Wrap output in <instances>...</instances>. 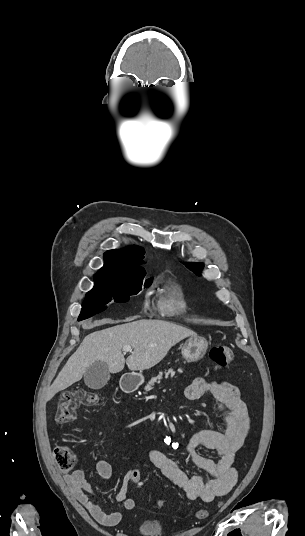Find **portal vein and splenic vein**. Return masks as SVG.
Instances as JSON below:
<instances>
[{
    "instance_id": "1",
    "label": "portal vein and splenic vein",
    "mask_w": 305,
    "mask_h": 536,
    "mask_svg": "<svg viewBox=\"0 0 305 536\" xmlns=\"http://www.w3.org/2000/svg\"><path fill=\"white\" fill-rule=\"evenodd\" d=\"M132 348L131 346H123L122 352H131Z\"/></svg>"
}]
</instances>
